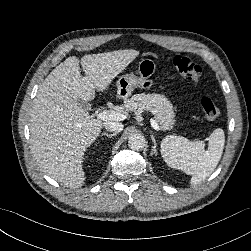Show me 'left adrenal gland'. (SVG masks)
<instances>
[{
    "mask_svg": "<svg viewBox=\"0 0 251 251\" xmlns=\"http://www.w3.org/2000/svg\"><path fill=\"white\" fill-rule=\"evenodd\" d=\"M151 138H152V141H153V143H154V145H153V147H152V153L151 154H158L157 153V150H156V145H157V143H156V140H155V138H154V136L153 135H151Z\"/></svg>",
    "mask_w": 251,
    "mask_h": 251,
    "instance_id": "left-adrenal-gland-1",
    "label": "left adrenal gland"
}]
</instances>
